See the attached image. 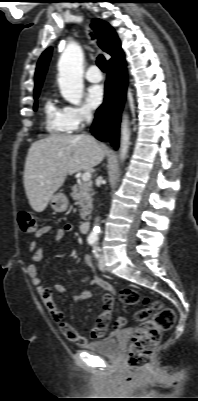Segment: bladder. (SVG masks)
Instances as JSON below:
<instances>
[{"mask_svg": "<svg viewBox=\"0 0 198 401\" xmlns=\"http://www.w3.org/2000/svg\"><path fill=\"white\" fill-rule=\"evenodd\" d=\"M85 349L93 354L116 358L120 353L117 334L111 333L99 341L89 343Z\"/></svg>", "mask_w": 198, "mask_h": 401, "instance_id": "obj_1", "label": "bladder"}]
</instances>
